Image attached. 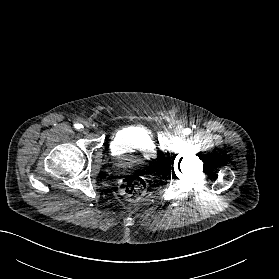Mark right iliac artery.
Segmentation results:
<instances>
[{
    "label": "right iliac artery",
    "mask_w": 279,
    "mask_h": 279,
    "mask_svg": "<svg viewBox=\"0 0 279 279\" xmlns=\"http://www.w3.org/2000/svg\"><path fill=\"white\" fill-rule=\"evenodd\" d=\"M74 127L76 129H82L83 128V126L81 124H74Z\"/></svg>",
    "instance_id": "obj_1"
}]
</instances>
